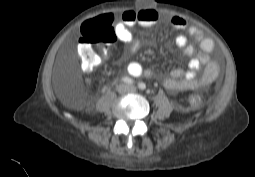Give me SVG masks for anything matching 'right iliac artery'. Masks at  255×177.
I'll list each match as a JSON object with an SVG mask.
<instances>
[{"label": "right iliac artery", "mask_w": 255, "mask_h": 177, "mask_svg": "<svg viewBox=\"0 0 255 177\" xmlns=\"http://www.w3.org/2000/svg\"><path fill=\"white\" fill-rule=\"evenodd\" d=\"M122 81H123L124 83H126V84H129V85H131V84L134 83V80L131 79L130 77H124V78H122Z\"/></svg>", "instance_id": "1"}]
</instances>
